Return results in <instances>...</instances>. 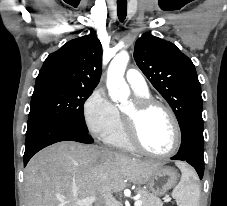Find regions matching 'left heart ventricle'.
I'll return each mask as SVG.
<instances>
[{"label": "left heart ventricle", "instance_id": "left-heart-ventricle-1", "mask_svg": "<svg viewBox=\"0 0 227 206\" xmlns=\"http://www.w3.org/2000/svg\"><path fill=\"white\" fill-rule=\"evenodd\" d=\"M133 102L124 110L133 112ZM139 133L145 147L156 153L169 151L174 144L175 131L168 114L161 108L155 107L147 111L140 121Z\"/></svg>", "mask_w": 227, "mask_h": 206}]
</instances>
